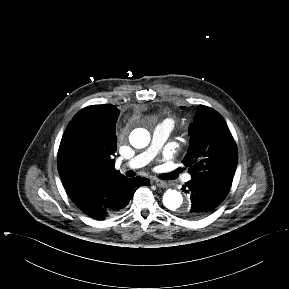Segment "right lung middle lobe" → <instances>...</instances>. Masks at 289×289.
I'll use <instances>...</instances> for the list:
<instances>
[{"mask_svg": "<svg viewBox=\"0 0 289 289\" xmlns=\"http://www.w3.org/2000/svg\"><path fill=\"white\" fill-rule=\"evenodd\" d=\"M119 113L103 106L80 110L75 115L73 126L77 143L84 147L98 146L115 137Z\"/></svg>", "mask_w": 289, "mask_h": 289, "instance_id": "dd1d6c3e", "label": "right lung middle lobe"}]
</instances>
